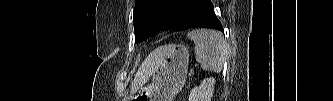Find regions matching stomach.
Listing matches in <instances>:
<instances>
[{"mask_svg": "<svg viewBox=\"0 0 333 101\" xmlns=\"http://www.w3.org/2000/svg\"><path fill=\"white\" fill-rule=\"evenodd\" d=\"M189 52L184 45H166L160 53L158 69L152 82L143 87L135 101H172L186 81Z\"/></svg>", "mask_w": 333, "mask_h": 101, "instance_id": "0dacf381", "label": "stomach"}]
</instances>
